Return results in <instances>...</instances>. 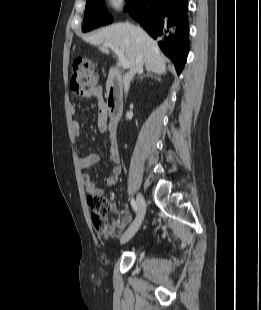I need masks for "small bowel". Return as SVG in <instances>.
Wrapping results in <instances>:
<instances>
[{"mask_svg": "<svg viewBox=\"0 0 261 310\" xmlns=\"http://www.w3.org/2000/svg\"><path fill=\"white\" fill-rule=\"evenodd\" d=\"M78 96L85 97V98H96L98 100L99 104V111L100 113L104 110V101L102 97V89L100 87H93L81 92L77 93ZM100 129L105 131H109V149H108V155L109 159L113 164L112 170L108 176L104 178V184L106 186H112L114 185L121 172V163L120 158L118 154L117 149V143H116V134L111 130V128H107L102 121H100ZM72 131L75 136H78L80 134V125L78 122L74 121L72 123ZM99 160V156L95 153L87 154L80 158L79 165L80 168L83 170L82 174V182L83 185L90 195H103L105 190L103 187L98 186L95 182H93L87 173V170H89L95 163H97Z\"/></svg>", "mask_w": 261, "mask_h": 310, "instance_id": "c3829d8e", "label": "small bowel"}]
</instances>
